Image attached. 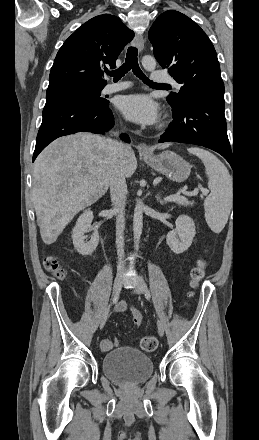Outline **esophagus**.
I'll list each match as a JSON object with an SVG mask.
<instances>
[{
	"label": "esophagus",
	"mask_w": 259,
	"mask_h": 440,
	"mask_svg": "<svg viewBox=\"0 0 259 440\" xmlns=\"http://www.w3.org/2000/svg\"><path fill=\"white\" fill-rule=\"evenodd\" d=\"M133 45L138 48L139 52H141L144 48V38L141 35H135L133 40ZM139 151L142 154L150 155L152 154L151 148L146 143H139Z\"/></svg>",
	"instance_id": "obj_1"
}]
</instances>
